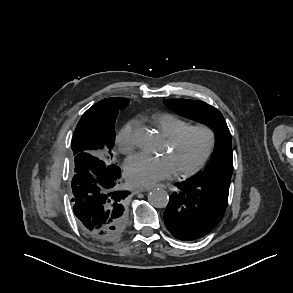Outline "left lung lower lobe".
Wrapping results in <instances>:
<instances>
[{
  "label": "left lung lower lobe",
  "mask_w": 293,
  "mask_h": 293,
  "mask_svg": "<svg viewBox=\"0 0 293 293\" xmlns=\"http://www.w3.org/2000/svg\"><path fill=\"white\" fill-rule=\"evenodd\" d=\"M230 182L195 178L178 185L164 212L167 229L177 239L192 241L211 232L222 220Z\"/></svg>",
  "instance_id": "obj_1"
}]
</instances>
